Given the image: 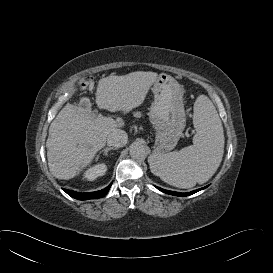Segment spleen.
Listing matches in <instances>:
<instances>
[{
  "instance_id": "obj_1",
  "label": "spleen",
  "mask_w": 273,
  "mask_h": 273,
  "mask_svg": "<svg viewBox=\"0 0 273 273\" xmlns=\"http://www.w3.org/2000/svg\"><path fill=\"white\" fill-rule=\"evenodd\" d=\"M193 145L166 154L154 153L148 162L151 172L178 188L207 182L218 169L224 153L221 119L211 100L200 95L194 103Z\"/></svg>"
}]
</instances>
